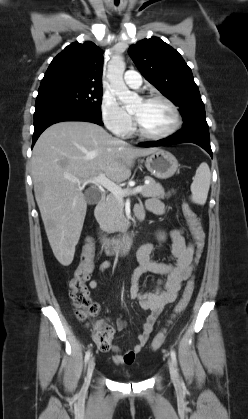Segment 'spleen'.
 <instances>
[{
	"label": "spleen",
	"mask_w": 248,
	"mask_h": 419,
	"mask_svg": "<svg viewBox=\"0 0 248 419\" xmlns=\"http://www.w3.org/2000/svg\"><path fill=\"white\" fill-rule=\"evenodd\" d=\"M211 173L206 162L199 165L191 184V200L200 205H204L207 200L210 187Z\"/></svg>",
	"instance_id": "spleen-1"
}]
</instances>
